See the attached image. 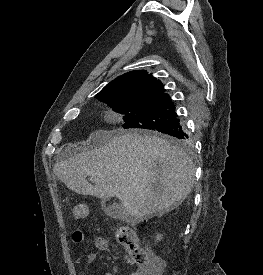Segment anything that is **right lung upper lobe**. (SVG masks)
Returning <instances> with one entry per match:
<instances>
[{"mask_svg":"<svg viewBox=\"0 0 263 275\" xmlns=\"http://www.w3.org/2000/svg\"><path fill=\"white\" fill-rule=\"evenodd\" d=\"M122 91L132 96L149 97V96H168L164 93V86L161 81L157 80L151 74L145 71H132L106 85L96 96Z\"/></svg>","mask_w":263,"mask_h":275,"instance_id":"cb5924a9","label":"right lung upper lobe"}]
</instances>
